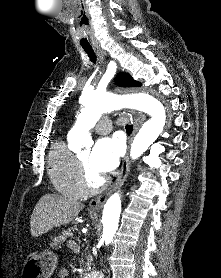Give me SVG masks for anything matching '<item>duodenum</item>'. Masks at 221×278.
<instances>
[{"mask_svg":"<svg viewBox=\"0 0 221 278\" xmlns=\"http://www.w3.org/2000/svg\"><path fill=\"white\" fill-rule=\"evenodd\" d=\"M90 278H101V277H99L97 274H93L90 276Z\"/></svg>","mask_w":221,"mask_h":278,"instance_id":"1","label":"duodenum"}]
</instances>
